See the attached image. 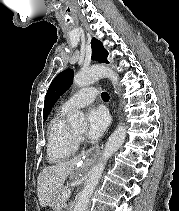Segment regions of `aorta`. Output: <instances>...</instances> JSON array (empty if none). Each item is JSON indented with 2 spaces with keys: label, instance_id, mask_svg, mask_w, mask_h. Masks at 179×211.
I'll return each mask as SVG.
<instances>
[{
  "label": "aorta",
  "instance_id": "aorta-1",
  "mask_svg": "<svg viewBox=\"0 0 179 211\" xmlns=\"http://www.w3.org/2000/svg\"><path fill=\"white\" fill-rule=\"evenodd\" d=\"M103 77L109 78L113 84L118 85V75L112 69L104 65H95L88 69H82L74 76L73 83L78 87H84L93 84ZM70 123L76 128L84 127L86 124L84 114L79 111L74 113L70 117ZM125 138L126 127L124 124H120L106 142L100 162L91 170V174L77 198L74 211H85L89 199L101 178L108 158L122 146Z\"/></svg>",
  "mask_w": 179,
  "mask_h": 211
}]
</instances>
